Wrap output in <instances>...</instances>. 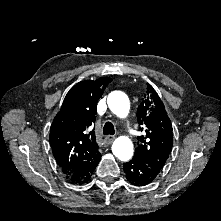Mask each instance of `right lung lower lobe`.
<instances>
[{"label": "right lung lower lobe", "mask_w": 221, "mask_h": 221, "mask_svg": "<svg viewBox=\"0 0 221 221\" xmlns=\"http://www.w3.org/2000/svg\"><path fill=\"white\" fill-rule=\"evenodd\" d=\"M100 158L101 154L97 151L80 169L66 175V178L74 184L86 183L98 165Z\"/></svg>", "instance_id": "right-lung-lower-lobe-1"}]
</instances>
